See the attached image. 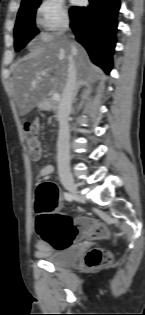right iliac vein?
Here are the masks:
<instances>
[{
	"label": "right iliac vein",
	"instance_id": "obj_1",
	"mask_svg": "<svg viewBox=\"0 0 145 315\" xmlns=\"http://www.w3.org/2000/svg\"><path fill=\"white\" fill-rule=\"evenodd\" d=\"M62 184L71 194L78 196L77 185L72 179H63Z\"/></svg>",
	"mask_w": 145,
	"mask_h": 315
}]
</instances>
